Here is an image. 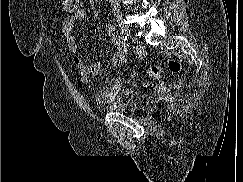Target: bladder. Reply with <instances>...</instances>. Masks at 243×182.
Here are the masks:
<instances>
[{"label": "bladder", "instance_id": "bladder-1", "mask_svg": "<svg viewBox=\"0 0 243 182\" xmlns=\"http://www.w3.org/2000/svg\"><path fill=\"white\" fill-rule=\"evenodd\" d=\"M146 96L140 92L128 91L124 96L109 104L98 105L97 109L108 113H132L144 107Z\"/></svg>", "mask_w": 243, "mask_h": 182}]
</instances>
